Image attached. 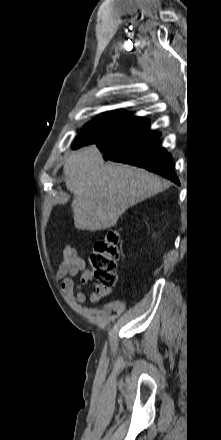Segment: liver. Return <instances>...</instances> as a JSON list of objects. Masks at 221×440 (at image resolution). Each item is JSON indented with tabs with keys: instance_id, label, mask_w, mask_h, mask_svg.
<instances>
[{
	"instance_id": "liver-1",
	"label": "liver",
	"mask_w": 221,
	"mask_h": 440,
	"mask_svg": "<svg viewBox=\"0 0 221 440\" xmlns=\"http://www.w3.org/2000/svg\"><path fill=\"white\" fill-rule=\"evenodd\" d=\"M66 187L73 193L77 229L113 227L131 206L168 188L170 183L143 169L105 163L95 145L70 155L64 164Z\"/></svg>"
}]
</instances>
